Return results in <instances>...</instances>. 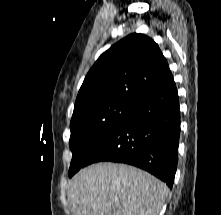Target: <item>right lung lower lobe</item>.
I'll return each instance as SVG.
<instances>
[{"instance_id": "right-lung-lower-lobe-1", "label": "right lung lower lobe", "mask_w": 221, "mask_h": 215, "mask_svg": "<svg viewBox=\"0 0 221 215\" xmlns=\"http://www.w3.org/2000/svg\"><path fill=\"white\" fill-rule=\"evenodd\" d=\"M180 110L174 80L136 101L90 155L87 165L111 161L150 172L171 189L177 169Z\"/></svg>"}]
</instances>
